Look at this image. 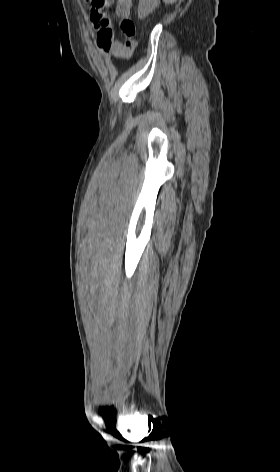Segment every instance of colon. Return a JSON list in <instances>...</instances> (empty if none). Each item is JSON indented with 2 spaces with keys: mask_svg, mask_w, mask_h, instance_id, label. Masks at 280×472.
<instances>
[{
  "mask_svg": "<svg viewBox=\"0 0 280 472\" xmlns=\"http://www.w3.org/2000/svg\"><path fill=\"white\" fill-rule=\"evenodd\" d=\"M114 0H91V20L99 25H107L109 20L107 18V9ZM120 27L126 37L127 45L134 47L133 37L136 33L134 22L130 18H123L120 22Z\"/></svg>",
  "mask_w": 280,
  "mask_h": 472,
  "instance_id": "1",
  "label": "colon"
}]
</instances>
